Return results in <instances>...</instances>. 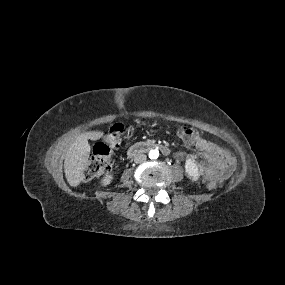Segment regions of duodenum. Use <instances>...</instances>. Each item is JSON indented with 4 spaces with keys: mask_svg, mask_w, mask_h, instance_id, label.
Returning <instances> with one entry per match:
<instances>
[{
    "mask_svg": "<svg viewBox=\"0 0 285 285\" xmlns=\"http://www.w3.org/2000/svg\"><path fill=\"white\" fill-rule=\"evenodd\" d=\"M149 149H158L164 155H167L169 153L168 147L164 144H158V143H152V142H139V143L132 145L128 149L127 155L129 157H132V156H135L136 154L145 152Z\"/></svg>",
    "mask_w": 285,
    "mask_h": 285,
    "instance_id": "duodenum-1",
    "label": "duodenum"
}]
</instances>
